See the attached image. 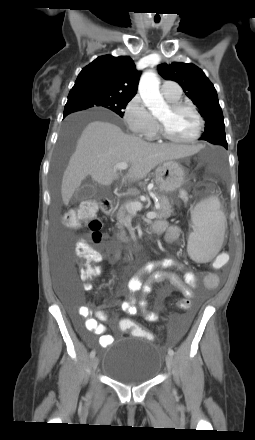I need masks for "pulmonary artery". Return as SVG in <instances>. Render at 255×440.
<instances>
[{
  "instance_id": "obj_1",
  "label": "pulmonary artery",
  "mask_w": 255,
  "mask_h": 440,
  "mask_svg": "<svg viewBox=\"0 0 255 440\" xmlns=\"http://www.w3.org/2000/svg\"><path fill=\"white\" fill-rule=\"evenodd\" d=\"M161 92L165 97H180L181 89L172 81H164Z\"/></svg>"
}]
</instances>
